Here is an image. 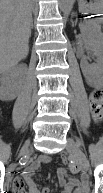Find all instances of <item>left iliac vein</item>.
Segmentation results:
<instances>
[{
    "label": "left iliac vein",
    "mask_w": 103,
    "mask_h": 193,
    "mask_svg": "<svg viewBox=\"0 0 103 193\" xmlns=\"http://www.w3.org/2000/svg\"><path fill=\"white\" fill-rule=\"evenodd\" d=\"M66 149L69 153L74 155L76 159L81 163L85 170H89V162L86 155L80 149L79 144L75 142L72 138L67 139Z\"/></svg>",
    "instance_id": "1"
}]
</instances>
